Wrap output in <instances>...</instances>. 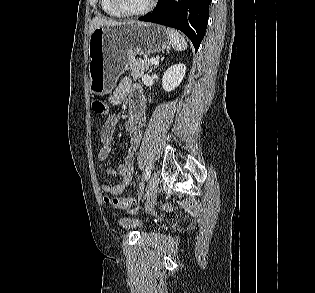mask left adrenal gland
<instances>
[{"instance_id": "obj_1", "label": "left adrenal gland", "mask_w": 315, "mask_h": 293, "mask_svg": "<svg viewBox=\"0 0 315 293\" xmlns=\"http://www.w3.org/2000/svg\"><path fill=\"white\" fill-rule=\"evenodd\" d=\"M157 67V65H155L154 67H152L151 69H150V71H152L153 69H155Z\"/></svg>"}]
</instances>
